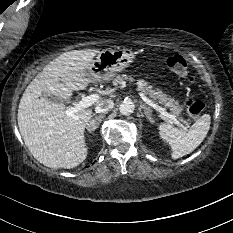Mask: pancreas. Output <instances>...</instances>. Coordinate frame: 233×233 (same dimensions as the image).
<instances>
[{
	"instance_id": "cf45deb5",
	"label": "pancreas",
	"mask_w": 233,
	"mask_h": 233,
	"mask_svg": "<svg viewBox=\"0 0 233 233\" xmlns=\"http://www.w3.org/2000/svg\"><path fill=\"white\" fill-rule=\"evenodd\" d=\"M126 80L132 81L133 79L131 77H128L126 74L118 75L115 78H113V85L117 86L118 84H121L123 81ZM137 85L140 93H143L152 100L164 105L171 111V113L175 117H178L182 113L183 107L179 104L177 100L163 93L159 89H154L151 85H149L147 81L142 79L138 80Z\"/></svg>"
}]
</instances>
